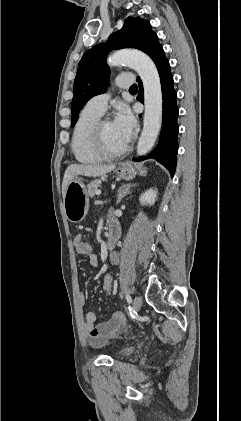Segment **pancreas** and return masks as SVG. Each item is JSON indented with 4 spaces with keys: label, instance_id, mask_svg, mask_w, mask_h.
I'll return each instance as SVG.
<instances>
[{
    "label": "pancreas",
    "instance_id": "cf45deb5",
    "mask_svg": "<svg viewBox=\"0 0 241 421\" xmlns=\"http://www.w3.org/2000/svg\"><path fill=\"white\" fill-rule=\"evenodd\" d=\"M98 187H100V180H94L91 181L88 185V195L92 198L95 196L96 191L98 190Z\"/></svg>",
    "mask_w": 241,
    "mask_h": 421
}]
</instances>
